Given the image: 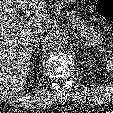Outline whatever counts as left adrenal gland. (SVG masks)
Instances as JSON below:
<instances>
[{"instance_id": "a2214340", "label": "left adrenal gland", "mask_w": 113, "mask_h": 113, "mask_svg": "<svg viewBox=\"0 0 113 113\" xmlns=\"http://www.w3.org/2000/svg\"><path fill=\"white\" fill-rule=\"evenodd\" d=\"M75 38L77 39V46H79V45L86 46L87 45V43H84L83 40H81L76 34H75Z\"/></svg>"}]
</instances>
